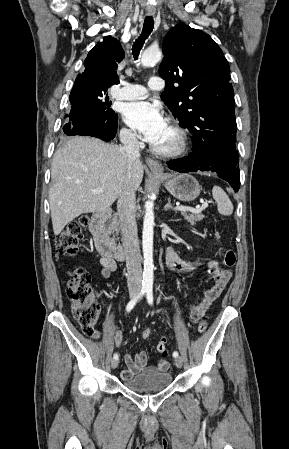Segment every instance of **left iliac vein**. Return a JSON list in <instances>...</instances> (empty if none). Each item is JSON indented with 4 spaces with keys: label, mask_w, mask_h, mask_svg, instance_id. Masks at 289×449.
I'll use <instances>...</instances> for the list:
<instances>
[{
    "label": "left iliac vein",
    "mask_w": 289,
    "mask_h": 449,
    "mask_svg": "<svg viewBox=\"0 0 289 449\" xmlns=\"http://www.w3.org/2000/svg\"><path fill=\"white\" fill-rule=\"evenodd\" d=\"M174 362L178 368H181L183 366V359L181 357H176Z\"/></svg>",
    "instance_id": "4c4485c4"
}]
</instances>
